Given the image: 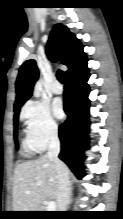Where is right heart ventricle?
<instances>
[{
    "instance_id": "obj_1",
    "label": "right heart ventricle",
    "mask_w": 123,
    "mask_h": 219,
    "mask_svg": "<svg viewBox=\"0 0 123 219\" xmlns=\"http://www.w3.org/2000/svg\"><path fill=\"white\" fill-rule=\"evenodd\" d=\"M22 149L25 155H32L34 152L38 151L33 143L31 142L29 136H25L22 140Z\"/></svg>"
}]
</instances>
